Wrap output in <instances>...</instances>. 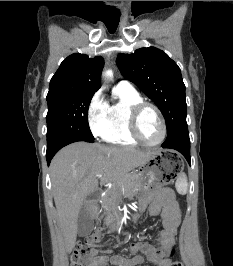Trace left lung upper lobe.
Instances as JSON below:
<instances>
[{
	"mask_svg": "<svg viewBox=\"0 0 233 266\" xmlns=\"http://www.w3.org/2000/svg\"><path fill=\"white\" fill-rule=\"evenodd\" d=\"M117 66L160 109L167 132L186 121L185 85L178 65L155 47L140 48L134 54H119Z\"/></svg>",
	"mask_w": 233,
	"mask_h": 266,
	"instance_id": "left-lung-upper-lobe-1",
	"label": "left lung upper lobe"
}]
</instances>
